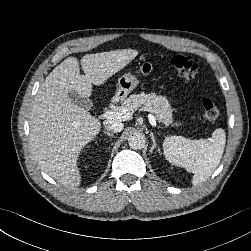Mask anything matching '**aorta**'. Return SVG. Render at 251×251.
Here are the masks:
<instances>
[{
	"label": "aorta",
	"instance_id": "762f6f07",
	"mask_svg": "<svg viewBox=\"0 0 251 251\" xmlns=\"http://www.w3.org/2000/svg\"><path fill=\"white\" fill-rule=\"evenodd\" d=\"M145 142V136L142 133L138 132L131 134L128 138L129 146L135 150L144 148Z\"/></svg>",
	"mask_w": 251,
	"mask_h": 251
}]
</instances>
